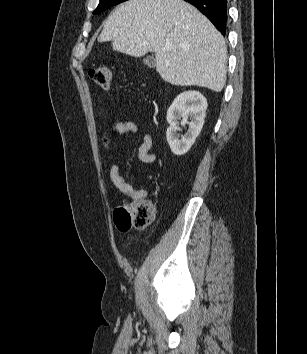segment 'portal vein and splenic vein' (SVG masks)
<instances>
[{"mask_svg": "<svg viewBox=\"0 0 307 354\" xmlns=\"http://www.w3.org/2000/svg\"><path fill=\"white\" fill-rule=\"evenodd\" d=\"M165 50H166V51L170 50V45H166V46H165Z\"/></svg>", "mask_w": 307, "mask_h": 354, "instance_id": "18ae733b", "label": "portal vein and splenic vein"}]
</instances>
